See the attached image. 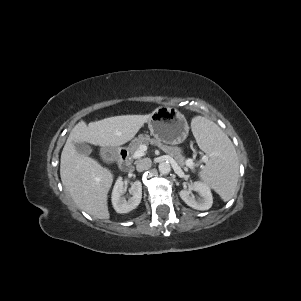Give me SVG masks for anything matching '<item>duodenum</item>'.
<instances>
[{"instance_id":"obj_1","label":"duodenum","mask_w":301,"mask_h":301,"mask_svg":"<svg viewBox=\"0 0 301 301\" xmlns=\"http://www.w3.org/2000/svg\"><path fill=\"white\" fill-rule=\"evenodd\" d=\"M104 160L108 164L119 162L122 171L129 173L133 170V164L126 150L120 145L107 144L103 148Z\"/></svg>"}]
</instances>
